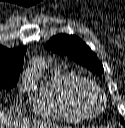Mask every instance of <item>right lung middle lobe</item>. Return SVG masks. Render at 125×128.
Instances as JSON below:
<instances>
[{
	"mask_svg": "<svg viewBox=\"0 0 125 128\" xmlns=\"http://www.w3.org/2000/svg\"><path fill=\"white\" fill-rule=\"evenodd\" d=\"M20 70L0 68V87L10 89L16 86Z\"/></svg>",
	"mask_w": 125,
	"mask_h": 128,
	"instance_id": "obj_1",
	"label": "right lung middle lobe"
}]
</instances>
